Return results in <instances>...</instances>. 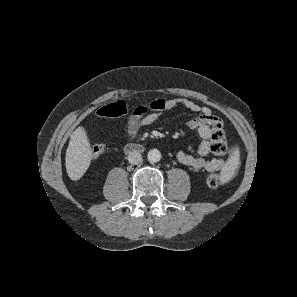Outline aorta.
I'll return each instance as SVG.
<instances>
[{
    "instance_id": "obj_1",
    "label": "aorta",
    "mask_w": 297,
    "mask_h": 297,
    "mask_svg": "<svg viewBox=\"0 0 297 297\" xmlns=\"http://www.w3.org/2000/svg\"><path fill=\"white\" fill-rule=\"evenodd\" d=\"M148 161L151 163H156L161 159V153L157 149H151L147 155Z\"/></svg>"
}]
</instances>
